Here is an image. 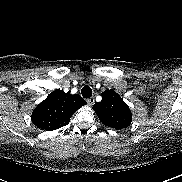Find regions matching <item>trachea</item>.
Returning <instances> with one entry per match:
<instances>
[{
    "label": "trachea",
    "mask_w": 182,
    "mask_h": 182,
    "mask_svg": "<svg viewBox=\"0 0 182 182\" xmlns=\"http://www.w3.org/2000/svg\"><path fill=\"white\" fill-rule=\"evenodd\" d=\"M81 94L85 98H89L92 96V89L90 86L86 85L81 89Z\"/></svg>",
    "instance_id": "obj_1"
}]
</instances>
